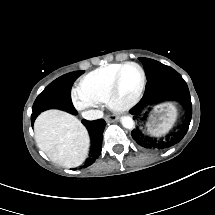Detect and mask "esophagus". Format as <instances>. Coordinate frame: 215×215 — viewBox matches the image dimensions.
I'll list each match as a JSON object with an SVG mask.
<instances>
[{"instance_id": "obj_1", "label": "esophagus", "mask_w": 215, "mask_h": 215, "mask_svg": "<svg viewBox=\"0 0 215 215\" xmlns=\"http://www.w3.org/2000/svg\"><path fill=\"white\" fill-rule=\"evenodd\" d=\"M105 120L109 123L115 122L116 120H118V117L115 115H107L105 117Z\"/></svg>"}]
</instances>
